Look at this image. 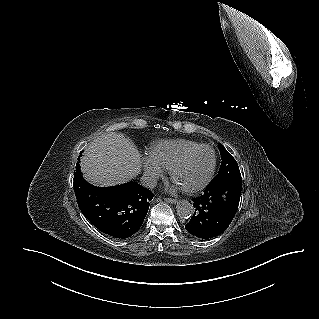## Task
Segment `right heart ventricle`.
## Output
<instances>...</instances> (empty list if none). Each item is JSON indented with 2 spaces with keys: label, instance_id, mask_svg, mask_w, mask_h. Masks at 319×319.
Returning <instances> with one entry per match:
<instances>
[{
  "label": "right heart ventricle",
  "instance_id": "1",
  "mask_svg": "<svg viewBox=\"0 0 319 319\" xmlns=\"http://www.w3.org/2000/svg\"><path fill=\"white\" fill-rule=\"evenodd\" d=\"M199 145L187 139H165L152 144L149 156L165 170H170L173 163L187 150Z\"/></svg>",
  "mask_w": 319,
  "mask_h": 319
}]
</instances>
